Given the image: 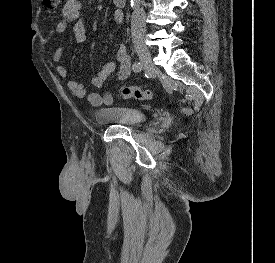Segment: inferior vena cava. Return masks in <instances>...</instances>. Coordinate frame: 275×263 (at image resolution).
Wrapping results in <instances>:
<instances>
[{
  "label": "inferior vena cava",
  "mask_w": 275,
  "mask_h": 263,
  "mask_svg": "<svg viewBox=\"0 0 275 263\" xmlns=\"http://www.w3.org/2000/svg\"><path fill=\"white\" fill-rule=\"evenodd\" d=\"M146 29L145 11L141 7L135 8L131 19V31L133 34L144 33Z\"/></svg>",
  "instance_id": "inferior-vena-cava-1"
}]
</instances>
